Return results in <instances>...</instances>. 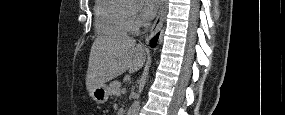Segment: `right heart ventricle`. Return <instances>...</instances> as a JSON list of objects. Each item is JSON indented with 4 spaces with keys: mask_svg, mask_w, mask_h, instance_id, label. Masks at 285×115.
I'll use <instances>...</instances> for the list:
<instances>
[{
    "mask_svg": "<svg viewBox=\"0 0 285 115\" xmlns=\"http://www.w3.org/2000/svg\"><path fill=\"white\" fill-rule=\"evenodd\" d=\"M95 28L103 37H117L133 31L132 16L120 0H99L95 6Z\"/></svg>",
    "mask_w": 285,
    "mask_h": 115,
    "instance_id": "e07e8e85",
    "label": "right heart ventricle"
}]
</instances>
